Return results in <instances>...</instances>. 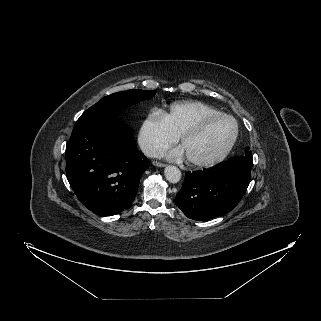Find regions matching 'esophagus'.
<instances>
[{"instance_id": "34e87169", "label": "esophagus", "mask_w": 321, "mask_h": 321, "mask_svg": "<svg viewBox=\"0 0 321 321\" xmlns=\"http://www.w3.org/2000/svg\"><path fill=\"white\" fill-rule=\"evenodd\" d=\"M153 165H154V166H157V167H165V166H166V164L161 163V162H157V161H154V162H153Z\"/></svg>"}]
</instances>
